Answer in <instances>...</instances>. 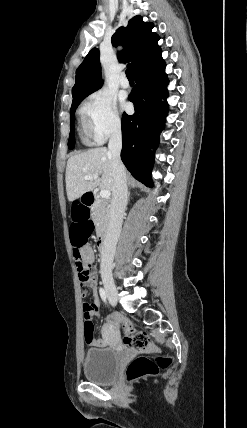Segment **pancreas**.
Instances as JSON below:
<instances>
[{"label": "pancreas", "mask_w": 247, "mask_h": 428, "mask_svg": "<svg viewBox=\"0 0 247 428\" xmlns=\"http://www.w3.org/2000/svg\"><path fill=\"white\" fill-rule=\"evenodd\" d=\"M92 215L97 229H106L109 221V206L108 204L99 199L93 206Z\"/></svg>", "instance_id": "cf45deb5"}]
</instances>
